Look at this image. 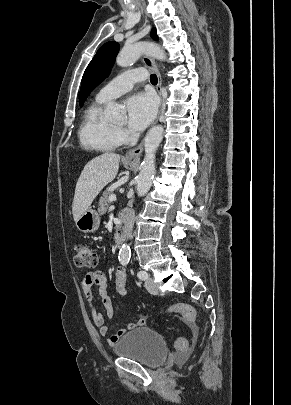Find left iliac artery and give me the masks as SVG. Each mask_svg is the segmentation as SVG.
Here are the masks:
<instances>
[{
    "instance_id": "obj_1",
    "label": "left iliac artery",
    "mask_w": 291,
    "mask_h": 405,
    "mask_svg": "<svg viewBox=\"0 0 291 405\" xmlns=\"http://www.w3.org/2000/svg\"><path fill=\"white\" fill-rule=\"evenodd\" d=\"M128 262H123V265H127ZM137 277L141 280H145L148 277V274L145 271H138Z\"/></svg>"
}]
</instances>
